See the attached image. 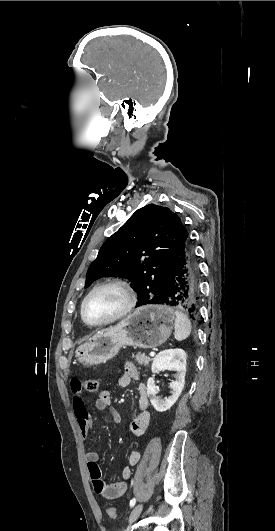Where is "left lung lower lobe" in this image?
<instances>
[{
	"label": "left lung lower lobe",
	"instance_id": "1",
	"mask_svg": "<svg viewBox=\"0 0 275 531\" xmlns=\"http://www.w3.org/2000/svg\"><path fill=\"white\" fill-rule=\"evenodd\" d=\"M199 278L194 247L188 237L176 258L165 294L154 304L173 306L193 318L199 306Z\"/></svg>",
	"mask_w": 275,
	"mask_h": 531
}]
</instances>
